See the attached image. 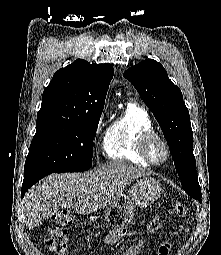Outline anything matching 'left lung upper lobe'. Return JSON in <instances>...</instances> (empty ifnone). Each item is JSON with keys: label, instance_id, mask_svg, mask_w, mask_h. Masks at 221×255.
Wrapping results in <instances>:
<instances>
[{"label": "left lung upper lobe", "instance_id": "5c2ea615", "mask_svg": "<svg viewBox=\"0 0 221 255\" xmlns=\"http://www.w3.org/2000/svg\"><path fill=\"white\" fill-rule=\"evenodd\" d=\"M124 77L136 88L158 121L185 192L201 198L193 155V133L180 89L155 60L146 59L125 71Z\"/></svg>", "mask_w": 221, "mask_h": 255}]
</instances>
